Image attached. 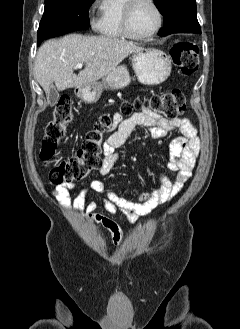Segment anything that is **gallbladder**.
<instances>
[{
    "mask_svg": "<svg viewBox=\"0 0 240 329\" xmlns=\"http://www.w3.org/2000/svg\"><path fill=\"white\" fill-rule=\"evenodd\" d=\"M49 103L51 106H54L59 98L58 91L56 90L55 86L52 84L50 85V90H49Z\"/></svg>",
    "mask_w": 240,
    "mask_h": 329,
    "instance_id": "1",
    "label": "gallbladder"
}]
</instances>
